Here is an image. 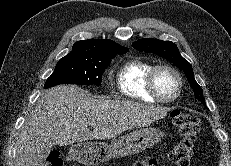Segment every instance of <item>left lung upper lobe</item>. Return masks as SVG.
Returning a JSON list of instances; mask_svg holds the SVG:
<instances>
[{
  "mask_svg": "<svg viewBox=\"0 0 231 166\" xmlns=\"http://www.w3.org/2000/svg\"><path fill=\"white\" fill-rule=\"evenodd\" d=\"M132 46L139 52L153 53L162 56L166 60L172 62L176 67L183 70L193 89L195 98L204 102L203 91L195 81L191 64L181 56L177 46L173 42L144 38L137 40Z\"/></svg>",
  "mask_w": 231,
  "mask_h": 166,
  "instance_id": "left-lung-upper-lobe-1",
  "label": "left lung upper lobe"
}]
</instances>
